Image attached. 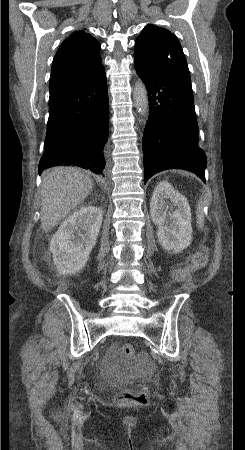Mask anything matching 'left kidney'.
Segmentation results:
<instances>
[{
	"label": "left kidney",
	"instance_id": "1",
	"mask_svg": "<svg viewBox=\"0 0 245 450\" xmlns=\"http://www.w3.org/2000/svg\"><path fill=\"white\" fill-rule=\"evenodd\" d=\"M150 214L153 223L158 225V241L165 250L179 253L191 244L189 203L168 182H161L155 187Z\"/></svg>",
	"mask_w": 245,
	"mask_h": 450
}]
</instances>
